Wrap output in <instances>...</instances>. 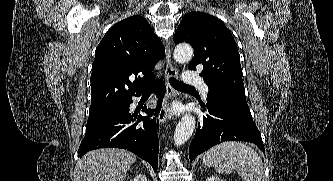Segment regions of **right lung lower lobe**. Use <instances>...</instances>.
<instances>
[{"label": "right lung lower lobe", "instance_id": "98d812e1", "mask_svg": "<svg viewBox=\"0 0 333 181\" xmlns=\"http://www.w3.org/2000/svg\"><path fill=\"white\" fill-rule=\"evenodd\" d=\"M165 89L162 81L153 86V90L158 95H164ZM131 103L132 100L129 98L108 114L87 123V131L78 150V157H82L85 153L94 149L104 147L123 148L149 162L154 171H157L159 149L157 129L159 122L155 118L151 120L149 116L153 112L155 115L159 113L162 101H158L155 110L144 107L143 111L148 114L146 117L131 115L129 113ZM141 121L143 123H140Z\"/></svg>", "mask_w": 333, "mask_h": 181}]
</instances>
